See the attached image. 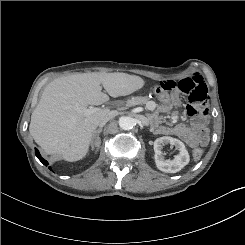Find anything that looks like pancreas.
<instances>
[{"instance_id":"pancreas-1","label":"pancreas","mask_w":245,"mask_h":245,"mask_svg":"<svg viewBox=\"0 0 245 245\" xmlns=\"http://www.w3.org/2000/svg\"><path fill=\"white\" fill-rule=\"evenodd\" d=\"M148 101L149 99L147 97H132L131 99H128L125 102V105L127 107L138 105V104L142 105V104H146Z\"/></svg>"}]
</instances>
